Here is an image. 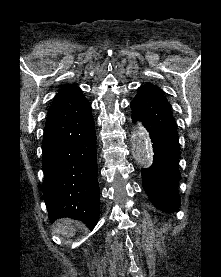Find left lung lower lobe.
Returning a JSON list of instances; mask_svg holds the SVG:
<instances>
[{
  "label": "left lung lower lobe",
  "mask_w": 221,
  "mask_h": 277,
  "mask_svg": "<svg viewBox=\"0 0 221 277\" xmlns=\"http://www.w3.org/2000/svg\"><path fill=\"white\" fill-rule=\"evenodd\" d=\"M130 106L132 121L143 122L153 143V164L141 170L143 188L159 209L168 212L177 210L180 204L177 193L180 149L171 108L146 86L138 88Z\"/></svg>",
  "instance_id": "obj_1"
}]
</instances>
